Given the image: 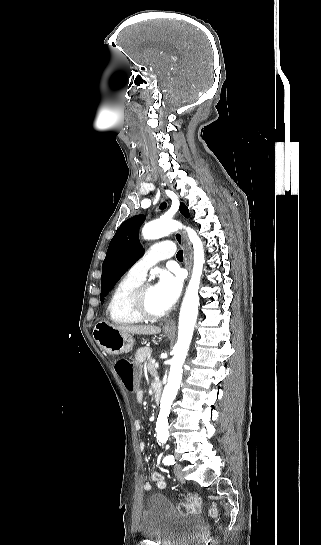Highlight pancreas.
<instances>
[{
    "label": "pancreas",
    "instance_id": "1",
    "mask_svg": "<svg viewBox=\"0 0 321 545\" xmlns=\"http://www.w3.org/2000/svg\"><path fill=\"white\" fill-rule=\"evenodd\" d=\"M148 371L150 373V377H158V373L156 371L155 363H152V361H149V363H148Z\"/></svg>",
    "mask_w": 321,
    "mask_h": 545
}]
</instances>
